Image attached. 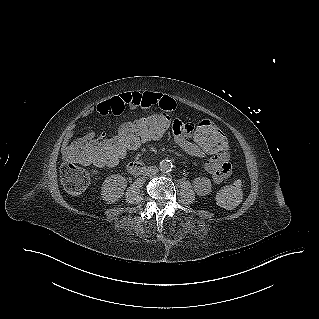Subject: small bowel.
Returning <instances> with one entry per match:
<instances>
[{"mask_svg": "<svg viewBox=\"0 0 319 319\" xmlns=\"http://www.w3.org/2000/svg\"><path fill=\"white\" fill-rule=\"evenodd\" d=\"M130 106L140 108L159 107L166 111H173L176 109L175 101L160 93H123L114 98L102 99L101 103L95 110L96 117L98 119H91L88 121L86 124V133L91 138H104L101 137L105 133V124L103 122H110L111 120H119L123 118L126 113V108ZM127 124H124L121 127H124ZM170 129L172 130L176 144L187 154L198 158L204 157L205 155H212L205 162V170L212 176L214 183L220 184L228 178L232 167L227 150L218 154H213L200 148L195 143L194 138L193 141H190L186 138V136H183L192 134L194 129L193 121H186V117L184 115H179L177 117V121L170 122ZM72 134L73 131H69L67 133L64 141V148L72 145L69 142Z\"/></svg>", "mask_w": 319, "mask_h": 319, "instance_id": "c3829d8e", "label": "small bowel"}]
</instances>
